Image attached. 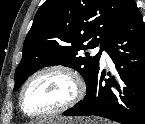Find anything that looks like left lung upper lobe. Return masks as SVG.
<instances>
[{
  "instance_id": "left-lung-upper-lobe-1",
  "label": "left lung upper lobe",
  "mask_w": 145,
  "mask_h": 124,
  "mask_svg": "<svg viewBox=\"0 0 145 124\" xmlns=\"http://www.w3.org/2000/svg\"><path fill=\"white\" fill-rule=\"evenodd\" d=\"M135 4L134 0H46L25 38L23 57L14 74V91L27 77L50 65L77 70L88 91L98 74L102 50L126 23ZM99 44L97 55H80L81 50Z\"/></svg>"
}]
</instances>
